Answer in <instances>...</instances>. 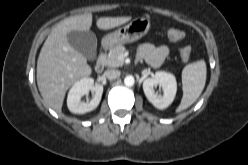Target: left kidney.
I'll use <instances>...</instances> for the list:
<instances>
[{
  "label": "left kidney",
  "mask_w": 248,
  "mask_h": 165,
  "mask_svg": "<svg viewBox=\"0 0 248 165\" xmlns=\"http://www.w3.org/2000/svg\"><path fill=\"white\" fill-rule=\"evenodd\" d=\"M162 87L163 95L155 93V87ZM143 91L146 98L157 109L167 108L174 100L177 91V82L173 74L164 71L155 73L154 78H147L143 82Z\"/></svg>",
  "instance_id": "obj_1"
}]
</instances>
